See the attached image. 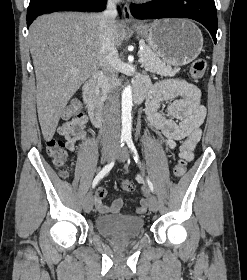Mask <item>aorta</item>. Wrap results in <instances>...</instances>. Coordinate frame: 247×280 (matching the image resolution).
<instances>
[{"instance_id": "aorta-1", "label": "aorta", "mask_w": 247, "mask_h": 280, "mask_svg": "<svg viewBox=\"0 0 247 280\" xmlns=\"http://www.w3.org/2000/svg\"><path fill=\"white\" fill-rule=\"evenodd\" d=\"M122 135L127 136L131 135V128H132V90L130 85L126 86L122 92Z\"/></svg>"}]
</instances>
